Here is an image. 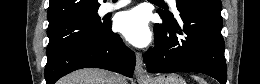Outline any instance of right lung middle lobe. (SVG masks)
I'll use <instances>...</instances> for the list:
<instances>
[{
    "label": "right lung middle lobe",
    "mask_w": 260,
    "mask_h": 84,
    "mask_svg": "<svg viewBox=\"0 0 260 84\" xmlns=\"http://www.w3.org/2000/svg\"><path fill=\"white\" fill-rule=\"evenodd\" d=\"M108 27L109 23H102L97 12H94L48 28L47 62L55 58L65 47L73 42L103 37L108 31Z\"/></svg>",
    "instance_id": "right-lung-middle-lobe-1"
}]
</instances>
